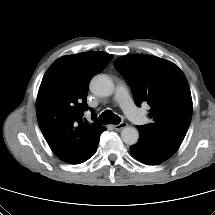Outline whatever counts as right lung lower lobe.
Returning <instances> with one entry per match:
<instances>
[{"label":"right lung lower lobe","instance_id":"obj_1","mask_svg":"<svg viewBox=\"0 0 215 215\" xmlns=\"http://www.w3.org/2000/svg\"><path fill=\"white\" fill-rule=\"evenodd\" d=\"M104 131H105V129H104ZM98 145V144H97ZM96 149H97V146L95 147V149L93 150V152L91 153V155L88 157V159L96 152ZM87 159V160H88Z\"/></svg>","mask_w":215,"mask_h":215}]
</instances>
